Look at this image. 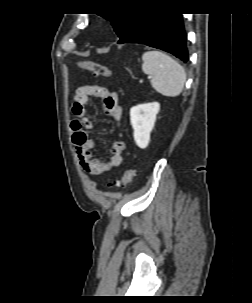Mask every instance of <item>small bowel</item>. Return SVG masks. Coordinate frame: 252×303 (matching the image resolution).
<instances>
[{"mask_svg": "<svg viewBox=\"0 0 252 303\" xmlns=\"http://www.w3.org/2000/svg\"><path fill=\"white\" fill-rule=\"evenodd\" d=\"M93 97L102 99L104 112L113 118L116 127L122 122L123 108L116 92L102 85L87 83L76 91L73 110L79 119L72 124V141L82 168L90 175L97 176L107 174L123 163L122 154L126 144L115 136L108 159L100 161L93 158L94 140L88 137L86 131L92 129L94 125L92 120L85 116L86 105Z\"/></svg>", "mask_w": 252, "mask_h": 303, "instance_id": "obj_1", "label": "small bowel"}]
</instances>
